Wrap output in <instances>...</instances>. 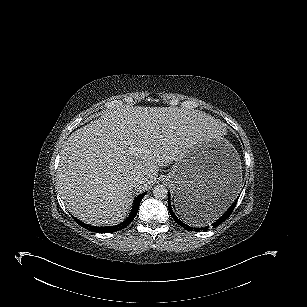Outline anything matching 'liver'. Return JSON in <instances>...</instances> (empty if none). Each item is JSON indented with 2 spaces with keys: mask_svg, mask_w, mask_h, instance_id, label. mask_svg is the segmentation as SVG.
Segmentation results:
<instances>
[{
  "mask_svg": "<svg viewBox=\"0 0 307 307\" xmlns=\"http://www.w3.org/2000/svg\"><path fill=\"white\" fill-rule=\"evenodd\" d=\"M221 124L200 111L171 107L107 110L64 144L58 186L75 217L93 226L122 222L134 189H149L158 169L201 140L220 138ZM134 179L143 183L133 188Z\"/></svg>",
  "mask_w": 307,
  "mask_h": 307,
  "instance_id": "obj_1",
  "label": "liver"
}]
</instances>
